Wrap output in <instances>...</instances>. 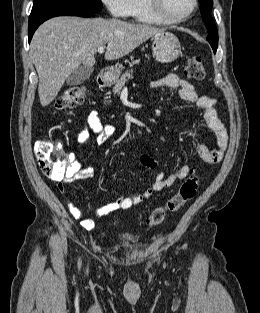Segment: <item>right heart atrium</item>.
Wrapping results in <instances>:
<instances>
[{"label": "right heart atrium", "instance_id": "1", "mask_svg": "<svg viewBox=\"0 0 260 313\" xmlns=\"http://www.w3.org/2000/svg\"><path fill=\"white\" fill-rule=\"evenodd\" d=\"M109 13L116 18H125L129 15L130 0H102Z\"/></svg>", "mask_w": 260, "mask_h": 313}]
</instances>
